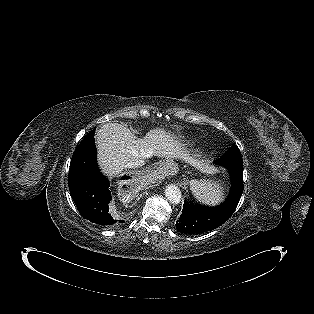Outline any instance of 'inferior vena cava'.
I'll return each instance as SVG.
<instances>
[{
	"mask_svg": "<svg viewBox=\"0 0 314 314\" xmlns=\"http://www.w3.org/2000/svg\"><path fill=\"white\" fill-rule=\"evenodd\" d=\"M144 164H145V161L142 159H139V160H135V161L127 163L126 167L127 168H138V167L143 166Z\"/></svg>",
	"mask_w": 314,
	"mask_h": 314,
	"instance_id": "inferior-vena-cava-1",
	"label": "inferior vena cava"
}]
</instances>
